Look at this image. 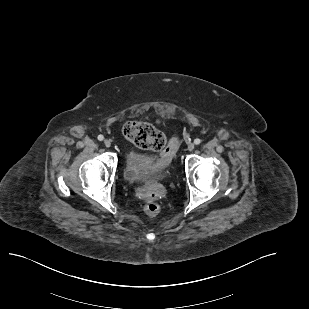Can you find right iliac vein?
Wrapping results in <instances>:
<instances>
[{
    "label": "right iliac vein",
    "instance_id": "63e3f726",
    "mask_svg": "<svg viewBox=\"0 0 309 309\" xmlns=\"http://www.w3.org/2000/svg\"><path fill=\"white\" fill-rule=\"evenodd\" d=\"M104 145H105L106 147H110V146H111V141L108 140V139H105V140H104Z\"/></svg>",
    "mask_w": 309,
    "mask_h": 309
}]
</instances>
